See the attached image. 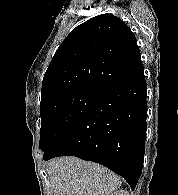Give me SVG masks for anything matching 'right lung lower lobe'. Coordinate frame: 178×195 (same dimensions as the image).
<instances>
[{
    "mask_svg": "<svg viewBox=\"0 0 178 195\" xmlns=\"http://www.w3.org/2000/svg\"><path fill=\"white\" fill-rule=\"evenodd\" d=\"M144 69L99 90L77 125L44 159L72 155L106 166L136 187L146 138Z\"/></svg>",
    "mask_w": 178,
    "mask_h": 195,
    "instance_id": "right-lung-lower-lobe-1",
    "label": "right lung lower lobe"
}]
</instances>
